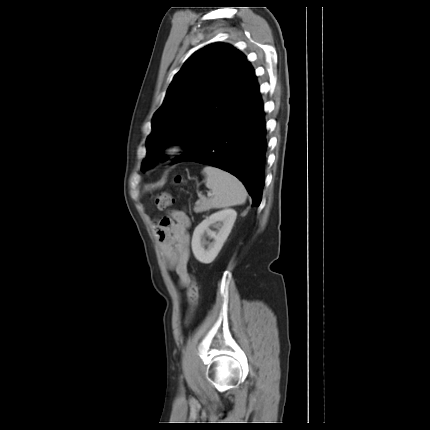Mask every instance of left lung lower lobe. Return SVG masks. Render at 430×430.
Instances as JSON below:
<instances>
[{
	"label": "left lung lower lobe",
	"mask_w": 430,
	"mask_h": 430,
	"mask_svg": "<svg viewBox=\"0 0 430 430\" xmlns=\"http://www.w3.org/2000/svg\"><path fill=\"white\" fill-rule=\"evenodd\" d=\"M266 127L259 88L235 111L200 127L187 151L173 160L193 161L236 176L259 206L264 186Z\"/></svg>",
	"instance_id": "1"
}]
</instances>
